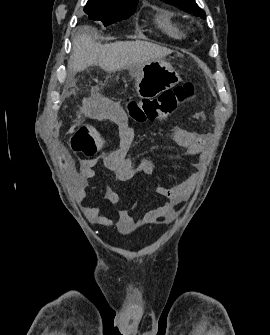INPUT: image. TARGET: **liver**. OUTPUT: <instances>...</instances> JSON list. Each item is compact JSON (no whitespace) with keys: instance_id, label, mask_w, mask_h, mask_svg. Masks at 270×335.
<instances>
[{"instance_id":"obj_1","label":"liver","mask_w":270,"mask_h":335,"mask_svg":"<svg viewBox=\"0 0 270 335\" xmlns=\"http://www.w3.org/2000/svg\"><path fill=\"white\" fill-rule=\"evenodd\" d=\"M173 50L162 48L151 42H114V44H96L86 32L78 34L73 40L72 54L68 60L71 72H82L92 64H98L105 72H118L129 68L132 76L139 72L143 64L165 58Z\"/></svg>"}]
</instances>
